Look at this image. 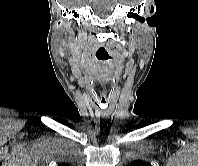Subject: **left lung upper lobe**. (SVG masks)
Wrapping results in <instances>:
<instances>
[{
  "label": "left lung upper lobe",
  "instance_id": "obj_1",
  "mask_svg": "<svg viewBox=\"0 0 198 166\" xmlns=\"http://www.w3.org/2000/svg\"><path fill=\"white\" fill-rule=\"evenodd\" d=\"M129 166H151V165L140 161H133L132 163L129 164Z\"/></svg>",
  "mask_w": 198,
  "mask_h": 166
}]
</instances>
